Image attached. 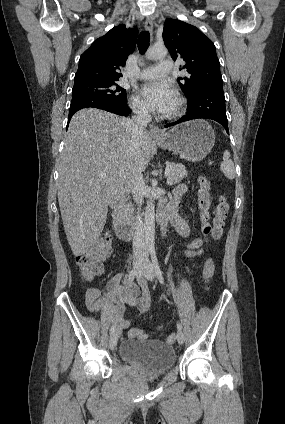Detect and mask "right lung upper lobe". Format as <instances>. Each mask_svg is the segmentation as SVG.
I'll list each match as a JSON object with an SVG mask.
<instances>
[{
    "mask_svg": "<svg viewBox=\"0 0 285 424\" xmlns=\"http://www.w3.org/2000/svg\"><path fill=\"white\" fill-rule=\"evenodd\" d=\"M138 29L121 24L96 39L81 55L74 84L88 81H116L121 67L135 48Z\"/></svg>",
    "mask_w": 285,
    "mask_h": 424,
    "instance_id": "cb5924a9",
    "label": "right lung upper lobe"
}]
</instances>
